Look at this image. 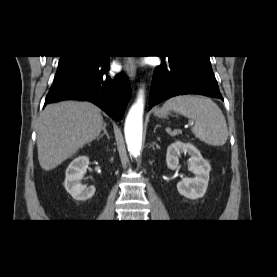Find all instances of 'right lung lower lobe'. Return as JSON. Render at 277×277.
I'll use <instances>...</instances> for the list:
<instances>
[{
    "instance_id": "obj_1",
    "label": "right lung lower lobe",
    "mask_w": 277,
    "mask_h": 277,
    "mask_svg": "<svg viewBox=\"0 0 277 277\" xmlns=\"http://www.w3.org/2000/svg\"><path fill=\"white\" fill-rule=\"evenodd\" d=\"M108 70L109 58L99 57L93 64L54 82L44 106L65 99H82L96 104L114 120L120 121L131 97V87L124 73L111 78Z\"/></svg>"
}]
</instances>
